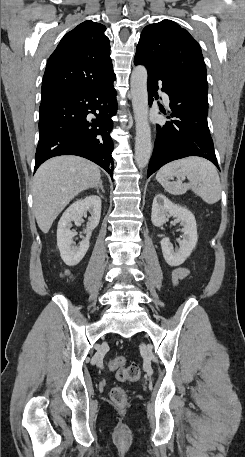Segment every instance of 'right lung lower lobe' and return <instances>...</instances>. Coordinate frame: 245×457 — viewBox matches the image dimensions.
Listing matches in <instances>:
<instances>
[{
	"instance_id": "1",
	"label": "right lung lower lobe",
	"mask_w": 245,
	"mask_h": 457,
	"mask_svg": "<svg viewBox=\"0 0 245 457\" xmlns=\"http://www.w3.org/2000/svg\"><path fill=\"white\" fill-rule=\"evenodd\" d=\"M114 80L115 76L41 102L35 170L51 157L77 155L100 165L113 178L114 146L110 133L111 117L117 110ZM90 113L96 118H88Z\"/></svg>"
}]
</instances>
